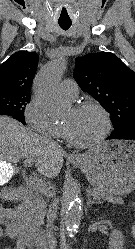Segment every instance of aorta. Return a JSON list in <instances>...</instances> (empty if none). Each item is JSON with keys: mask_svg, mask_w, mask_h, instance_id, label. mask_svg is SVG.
<instances>
[{"mask_svg": "<svg viewBox=\"0 0 135 249\" xmlns=\"http://www.w3.org/2000/svg\"><path fill=\"white\" fill-rule=\"evenodd\" d=\"M65 70L66 59L60 57L49 63L36 78L34 84L35 98L50 115H58L64 110L59 82ZM65 198L67 201L65 226L72 236L79 228L82 215L79 185L77 182H71L68 185L65 191Z\"/></svg>", "mask_w": 135, "mask_h": 249, "instance_id": "762f6f07", "label": "aorta"}]
</instances>
